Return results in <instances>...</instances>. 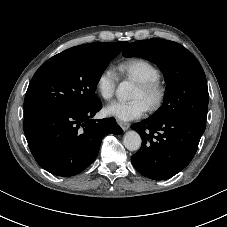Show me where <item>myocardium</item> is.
Returning <instances> with one entry per match:
<instances>
[{
	"label": "myocardium",
	"mask_w": 227,
	"mask_h": 227,
	"mask_svg": "<svg viewBox=\"0 0 227 227\" xmlns=\"http://www.w3.org/2000/svg\"><path fill=\"white\" fill-rule=\"evenodd\" d=\"M150 111L158 110L166 98V87L159 79L138 82Z\"/></svg>",
	"instance_id": "1"
}]
</instances>
